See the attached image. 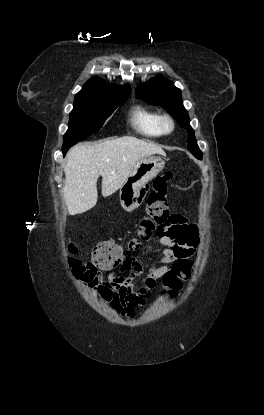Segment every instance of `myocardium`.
<instances>
[{
  "mask_svg": "<svg viewBox=\"0 0 264 415\" xmlns=\"http://www.w3.org/2000/svg\"><path fill=\"white\" fill-rule=\"evenodd\" d=\"M159 127L162 134H169L175 128V122L169 114H162L159 117Z\"/></svg>",
  "mask_w": 264,
  "mask_h": 415,
  "instance_id": "obj_1",
  "label": "myocardium"
}]
</instances>
